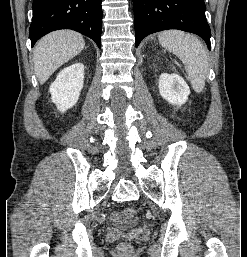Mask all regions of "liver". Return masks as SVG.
Returning a JSON list of instances; mask_svg holds the SVG:
<instances>
[{
    "instance_id": "obj_1",
    "label": "liver",
    "mask_w": 247,
    "mask_h": 257,
    "mask_svg": "<svg viewBox=\"0 0 247 257\" xmlns=\"http://www.w3.org/2000/svg\"><path fill=\"white\" fill-rule=\"evenodd\" d=\"M84 46L83 36L71 30L54 31L40 39L34 49V70L40 84L78 55Z\"/></svg>"
}]
</instances>
